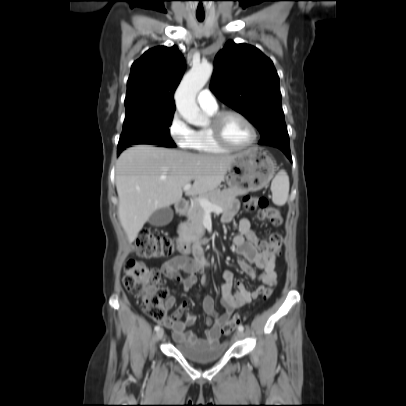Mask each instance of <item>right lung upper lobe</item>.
I'll return each instance as SVG.
<instances>
[{"label":"right lung upper lobe","instance_id":"obj_1","mask_svg":"<svg viewBox=\"0 0 406 406\" xmlns=\"http://www.w3.org/2000/svg\"><path fill=\"white\" fill-rule=\"evenodd\" d=\"M185 71V59L176 46L146 51L131 67L126 110L175 111L174 92Z\"/></svg>","mask_w":406,"mask_h":406}]
</instances>
